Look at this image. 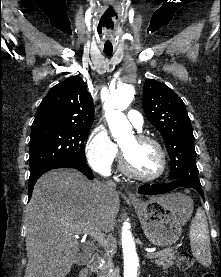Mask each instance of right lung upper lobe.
Returning a JSON list of instances; mask_svg holds the SVG:
<instances>
[{"label":"right lung upper lobe","mask_w":221,"mask_h":277,"mask_svg":"<svg viewBox=\"0 0 221 277\" xmlns=\"http://www.w3.org/2000/svg\"><path fill=\"white\" fill-rule=\"evenodd\" d=\"M94 105L86 84L72 76L55 85L41 102L32 127L43 125L91 126Z\"/></svg>","instance_id":"obj_1"}]
</instances>
